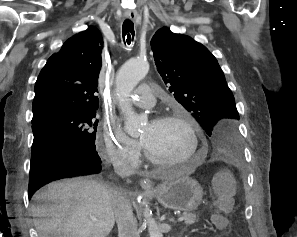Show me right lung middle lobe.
Instances as JSON below:
<instances>
[{"mask_svg": "<svg viewBox=\"0 0 297 237\" xmlns=\"http://www.w3.org/2000/svg\"><path fill=\"white\" fill-rule=\"evenodd\" d=\"M95 112H55L32 122L34 140L32 149L38 144L53 139H64L87 148H95Z\"/></svg>", "mask_w": 297, "mask_h": 237, "instance_id": "dd1d6c3e", "label": "right lung middle lobe"}]
</instances>
